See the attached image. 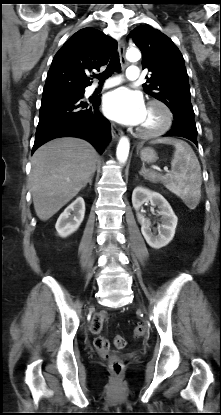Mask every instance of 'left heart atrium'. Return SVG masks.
I'll return each mask as SVG.
<instances>
[{
    "label": "left heart atrium",
    "mask_w": 221,
    "mask_h": 415,
    "mask_svg": "<svg viewBox=\"0 0 221 415\" xmlns=\"http://www.w3.org/2000/svg\"><path fill=\"white\" fill-rule=\"evenodd\" d=\"M102 109L109 119L135 126L141 123L146 106L139 92L121 87L104 96Z\"/></svg>",
    "instance_id": "obj_1"
}]
</instances>
